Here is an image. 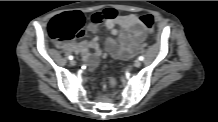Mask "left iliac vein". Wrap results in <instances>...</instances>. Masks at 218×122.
<instances>
[{
    "mask_svg": "<svg viewBox=\"0 0 218 122\" xmlns=\"http://www.w3.org/2000/svg\"><path fill=\"white\" fill-rule=\"evenodd\" d=\"M134 66L135 67H140L141 66V61L140 60H135Z\"/></svg>",
    "mask_w": 218,
    "mask_h": 122,
    "instance_id": "obj_1",
    "label": "left iliac vein"
}]
</instances>
